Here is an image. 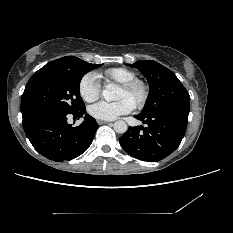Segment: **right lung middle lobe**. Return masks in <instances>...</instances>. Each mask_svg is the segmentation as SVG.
<instances>
[{"mask_svg": "<svg viewBox=\"0 0 233 233\" xmlns=\"http://www.w3.org/2000/svg\"><path fill=\"white\" fill-rule=\"evenodd\" d=\"M101 65L70 56L39 69L29 79L21 97L23 122L49 112L72 114L85 109L80 81L84 74Z\"/></svg>", "mask_w": 233, "mask_h": 233, "instance_id": "1", "label": "right lung middle lobe"}]
</instances>
